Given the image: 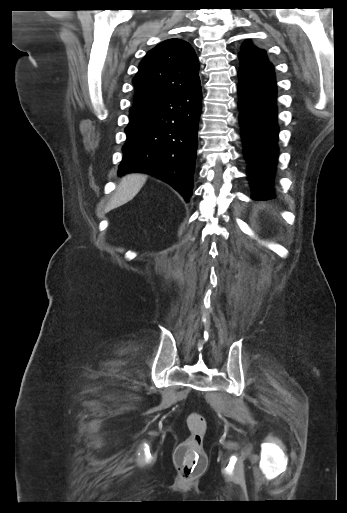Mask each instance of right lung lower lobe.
Masks as SVG:
<instances>
[{
	"instance_id": "right-lung-lower-lobe-1",
	"label": "right lung lower lobe",
	"mask_w": 347,
	"mask_h": 513,
	"mask_svg": "<svg viewBox=\"0 0 347 513\" xmlns=\"http://www.w3.org/2000/svg\"><path fill=\"white\" fill-rule=\"evenodd\" d=\"M201 87L130 108L127 140L119 175L151 174L175 188L188 202L192 195Z\"/></svg>"
}]
</instances>
